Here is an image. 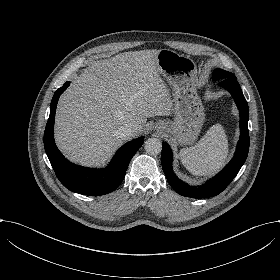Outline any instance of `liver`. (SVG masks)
Returning <instances> with one entry per match:
<instances>
[{"instance_id": "obj_1", "label": "liver", "mask_w": 280, "mask_h": 280, "mask_svg": "<svg viewBox=\"0 0 280 280\" xmlns=\"http://www.w3.org/2000/svg\"><path fill=\"white\" fill-rule=\"evenodd\" d=\"M157 50L120 53L93 62L60 99L55 140L72 162L100 167L123 144L118 130L143 133L147 118L168 116L173 101L157 71ZM134 136V137H135Z\"/></svg>"}]
</instances>
